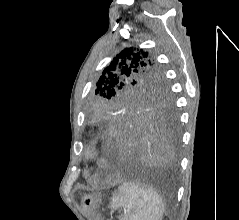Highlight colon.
<instances>
[{"label":"colon","instance_id":"obj_1","mask_svg":"<svg viewBox=\"0 0 239 220\" xmlns=\"http://www.w3.org/2000/svg\"><path fill=\"white\" fill-rule=\"evenodd\" d=\"M109 93H110V89H109V88H105V89H103V91H102V94H103V95H109Z\"/></svg>","mask_w":239,"mask_h":220}]
</instances>
